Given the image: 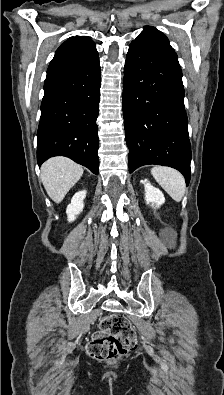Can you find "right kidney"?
Returning a JSON list of instances; mask_svg holds the SVG:
<instances>
[{
	"instance_id": "right-kidney-1",
	"label": "right kidney",
	"mask_w": 224,
	"mask_h": 395,
	"mask_svg": "<svg viewBox=\"0 0 224 395\" xmlns=\"http://www.w3.org/2000/svg\"><path fill=\"white\" fill-rule=\"evenodd\" d=\"M86 197V191H79L74 194L71 199V203L67 206L66 213L68 216V221L72 222L76 219V216L82 212L84 208L83 200Z\"/></svg>"
}]
</instances>
